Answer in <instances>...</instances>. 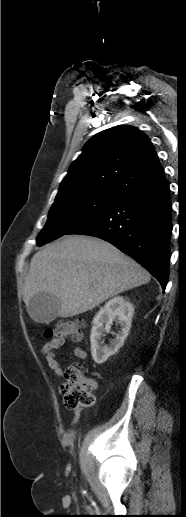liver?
Wrapping results in <instances>:
<instances>
[{
  "instance_id": "liver-1",
  "label": "liver",
  "mask_w": 186,
  "mask_h": 517,
  "mask_svg": "<svg viewBox=\"0 0 186 517\" xmlns=\"http://www.w3.org/2000/svg\"><path fill=\"white\" fill-rule=\"evenodd\" d=\"M150 279L146 269L112 244L88 236H65L32 257L23 301L28 306L34 295L52 294L60 304L58 316L67 318Z\"/></svg>"
}]
</instances>
